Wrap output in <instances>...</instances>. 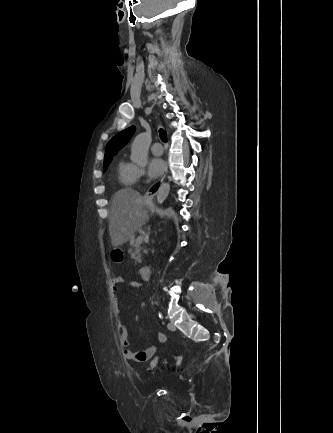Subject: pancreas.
Masks as SVG:
<instances>
[{
  "instance_id": "cf45deb5",
  "label": "pancreas",
  "mask_w": 333,
  "mask_h": 433,
  "mask_svg": "<svg viewBox=\"0 0 333 433\" xmlns=\"http://www.w3.org/2000/svg\"><path fill=\"white\" fill-rule=\"evenodd\" d=\"M130 244L132 246V250L130 251L131 258L135 259V262L140 264L141 263V244L137 243V239L131 238Z\"/></svg>"
}]
</instances>
